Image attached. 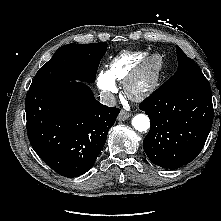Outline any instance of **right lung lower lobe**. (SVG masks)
Returning <instances> with one entry per match:
<instances>
[{
  "instance_id": "right-lung-lower-lobe-1",
  "label": "right lung lower lobe",
  "mask_w": 221,
  "mask_h": 221,
  "mask_svg": "<svg viewBox=\"0 0 221 221\" xmlns=\"http://www.w3.org/2000/svg\"><path fill=\"white\" fill-rule=\"evenodd\" d=\"M27 134L38 156L55 172L89 171L120 110L99 103L83 82L66 81L27 92Z\"/></svg>"
}]
</instances>
